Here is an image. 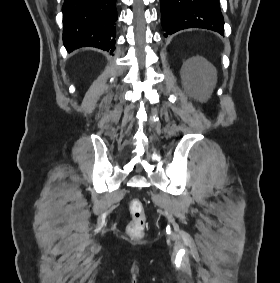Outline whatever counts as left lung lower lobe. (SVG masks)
<instances>
[{"mask_svg":"<svg viewBox=\"0 0 280 283\" xmlns=\"http://www.w3.org/2000/svg\"><path fill=\"white\" fill-rule=\"evenodd\" d=\"M162 27L167 37L186 28H205L223 35L219 0H160Z\"/></svg>","mask_w":280,"mask_h":283,"instance_id":"left-lung-lower-lobe-1","label":"left lung lower lobe"}]
</instances>
